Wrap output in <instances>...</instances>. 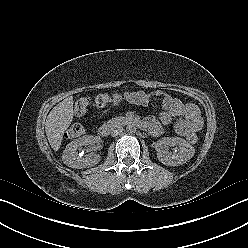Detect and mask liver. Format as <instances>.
I'll use <instances>...</instances> for the list:
<instances>
[{"label":"liver","mask_w":248,"mask_h":248,"mask_svg":"<svg viewBox=\"0 0 248 248\" xmlns=\"http://www.w3.org/2000/svg\"><path fill=\"white\" fill-rule=\"evenodd\" d=\"M73 97L70 96L57 104L48 114L45 128L50 146L58 151L61 146L64 132L73 120Z\"/></svg>","instance_id":"liver-1"}]
</instances>
